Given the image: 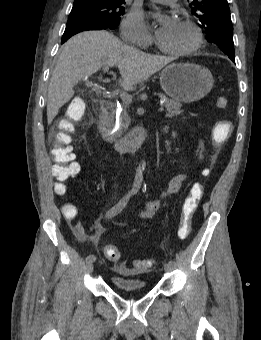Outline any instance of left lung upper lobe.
Returning a JSON list of instances; mask_svg holds the SVG:
<instances>
[{"label":"left lung upper lobe","instance_id":"5c2ea615","mask_svg":"<svg viewBox=\"0 0 261 340\" xmlns=\"http://www.w3.org/2000/svg\"><path fill=\"white\" fill-rule=\"evenodd\" d=\"M190 8L205 29L206 39L234 57L233 26L227 0H191Z\"/></svg>","mask_w":261,"mask_h":340}]
</instances>
